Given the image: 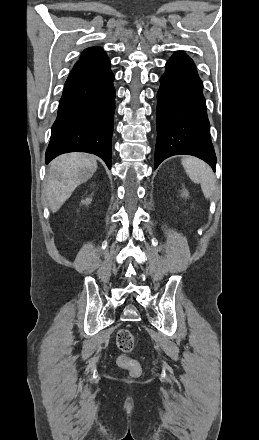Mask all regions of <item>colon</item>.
I'll return each instance as SVG.
<instances>
[{
    "instance_id": "colon-1",
    "label": "colon",
    "mask_w": 259,
    "mask_h": 440,
    "mask_svg": "<svg viewBox=\"0 0 259 440\" xmlns=\"http://www.w3.org/2000/svg\"><path fill=\"white\" fill-rule=\"evenodd\" d=\"M116 344L123 352L117 358L118 365L129 371L131 375L137 376L140 373V365L135 359L128 355L135 347V337L132 332L128 329H120L117 332Z\"/></svg>"
}]
</instances>
